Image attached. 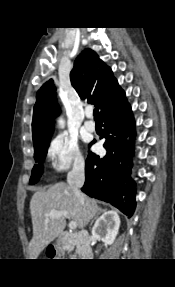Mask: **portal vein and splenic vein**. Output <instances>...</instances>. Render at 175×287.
Instances as JSON below:
<instances>
[{
	"label": "portal vein and splenic vein",
	"instance_id": "obj_1",
	"mask_svg": "<svg viewBox=\"0 0 175 287\" xmlns=\"http://www.w3.org/2000/svg\"><path fill=\"white\" fill-rule=\"evenodd\" d=\"M60 216H63L65 218H69V214H68L67 211L53 210L47 215V218L45 219V223L49 222V218H57V217H60ZM76 227H77V224H76L75 221H71L69 223V228L70 229H75Z\"/></svg>",
	"mask_w": 175,
	"mask_h": 287
}]
</instances>
